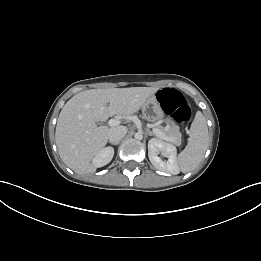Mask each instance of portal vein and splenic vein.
<instances>
[{
    "instance_id": "portal-vein-and-splenic-vein-1",
    "label": "portal vein and splenic vein",
    "mask_w": 261,
    "mask_h": 261,
    "mask_svg": "<svg viewBox=\"0 0 261 261\" xmlns=\"http://www.w3.org/2000/svg\"><path fill=\"white\" fill-rule=\"evenodd\" d=\"M120 124V121L117 119V118H114V119H110L108 121V125L109 126H117ZM153 132L155 133V135L159 138H164V135L163 133L159 130V129H154Z\"/></svg>"
}]
</instances>
